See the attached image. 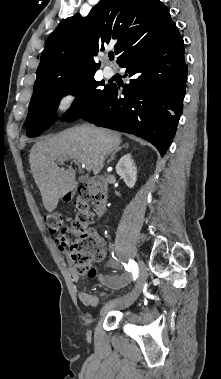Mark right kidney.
Instances as JSON below:
<instances>
[{"mask_svg": "<svg viewBox=\"0 0 221 379\" xmlns=\"http://www.w3.org/2000/svg\"><path fill=\"white\" fill-rule=\"evenodd\" d=\"M116 172L129 188L134 187L137 180V169L131 159V154H126L120 158L116 165Z\"/></svg>", "mask_w": 221, "mask_h": 379, "instance_id": "obj_1", "label": "right kidney"}]
</instances>
